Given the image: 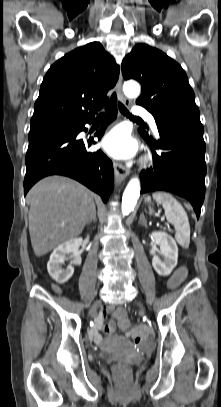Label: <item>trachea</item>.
<instances>
[{"mask_svg":"<svg viewBox=\"0 0 221 407\" xmlns=\"http://www.w3.org/2000/svg\"><path fill=\"white\" fill-rule=\"evenodd\" d=\"M118 108H119L120 112H121L124 116H126V117H128V118H130V119H132V120H139V121H142L141 118L132 115L122 103H119V104H118ZM103 116H104V113H103V112H101V113L98 114V118H99V117H103Z\"/></svg>","mask_w":221,"mask_h":407,"instance_id":"1","label":"trachea"}]
</instances>
